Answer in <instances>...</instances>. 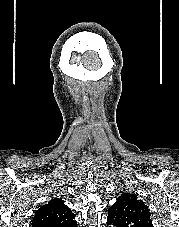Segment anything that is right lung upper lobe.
<instances>
[{
    "label": "right lung upper lobe",
    "mask_w": 179,
    "mask_h": 227,
    "mask_svg": "<svg viewBox=\"0 0 179 227\" xmlns=\"http://www.w3.org/2000/svg\"><path fill=\"white\" fill-rule=\"evenodd\" d=\"M32 227H77V222L64 201L55 198L36 211Z\"/></svg>",
    "instance_id": "obj_1"
}]
</instances>
